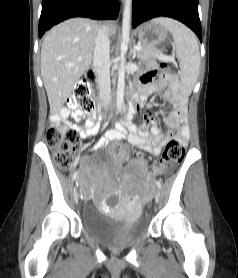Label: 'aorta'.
Returning <instances> with one entry per match:
<instances>
[{
	"mask_svg": "<svg viewBox=\"0 0 238 278\" xmlns=\"http://www.w3.org/2000/svg\"><path fill=\"white\" fill-rule=\"evenodd\" d=\"M131 7L132 0H125L123 20H122V42L120 48V67L118 70L117 96L116 108L121 111L124 105V89H125V61L126 52L128 49V42L130 37L131 26Z\"/></svg>",
	"mask_w": 238,
	"mask_h": 278,
	"instance_id": "762f6f07",
	"label": "aorta"
}]
</instances>
